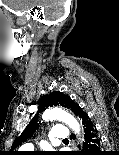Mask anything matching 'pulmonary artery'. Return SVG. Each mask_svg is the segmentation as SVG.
Here are the masks:
<instances>
[{"label": "pulmonary artery", "instance_id": "1", "mask_svg": "<svg viewBox=\"0 0 119 155\" xmlns=\"http://www.w3.org/2000/svg\"><path fill=\"white\" fill-rule=\"evenodd\" d=\"M68 129L64 126L54 127L52 130V138L54 141L66 140L68 137ZM31 144H26L23 146V149H31Z\"/></svg>", "mask_w": 119, "mask_h": 155}]
</instances>
